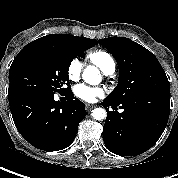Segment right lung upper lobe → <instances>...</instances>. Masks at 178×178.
Masks as SVG:
<instances>
[{
	"label": "right lung upper lobe",
	"instance_id": "obj_1",
	"mask_svg": "<svg viewBox=\"0 0 178 178\" xmlns=\"http://www.w3.org/2000/svg\"><path fill=\"white\" fill-rule=\"evenodd\" d=\"M39 40H51V41H62V42H78L83 41L91 44L92 46L96 45L97 41L95 39H89L85 37H78L68 34H50L44 37L39 38Z\"/></svg>",
	"mask_w": 178,
	"mask_h": 178
}]
</instances>
